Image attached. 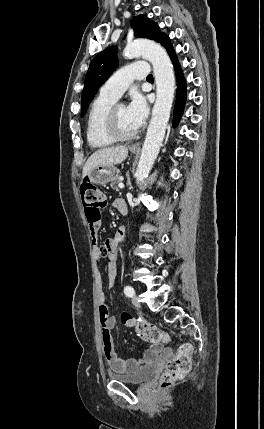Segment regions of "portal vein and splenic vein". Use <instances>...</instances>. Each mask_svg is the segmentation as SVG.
<instances>
[{
	"label": "portal vein and splenic vein",
	"mask_w": 264,
	"mask_h": 429,
	"mask_svg": "<svg viewBox=\"0 0 264 429\" xmlns=\"http://www.w3.org/2000/svg\"><path fill=\"white\" fill-rule=\"evenodd\" d=\"M118 187H119V188H124V184H123L122 182H120V183L118 184Z\"/></svg>",
	"instance_id": "portal-vein-and-splenic-vein-1"
}]
</instances>
